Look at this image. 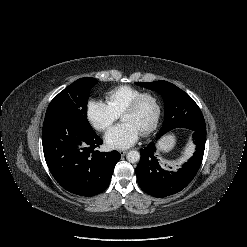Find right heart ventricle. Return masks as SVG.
Returning <instances> with one entry per match:
<instances>
[{
  "label": "right heart ventricle",
  "mask_w": 247,
  "mask_h": 247,
  "mask_svg": "<svg viewBox=\"0 0 247 247\" xmlns=\"http://www.w3.org/2000/svg\"><path fill=\"white\" fill-rule=\"evenodd\" d=\"M143 91L139 88L122 85L111 89L105 94L106 104L118 115L124 108Z\"/></svg>",
  "instance_id": "e07e8e85"
}]
</instances>
